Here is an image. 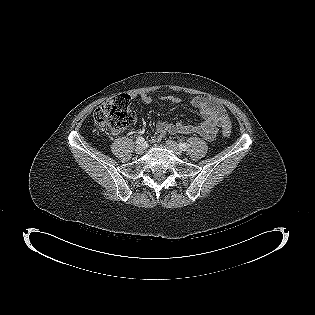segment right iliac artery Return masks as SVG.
<instances>
[{"mask_svg": "<svg viewBox=\"0 0 315 315\" xmlns=\"http://www.w3.org/2000/svg\"><path fill=\"white\" fill-rule=\"evenodd\" d=\"M144 142V138L139 136L137 139H136V143L137 144H142Z\"/></svg>", "mask_w": 315, "mask_h": 315, "instance_id": "1", "label": "right iliac artery"}]
</instances>
